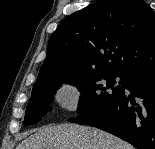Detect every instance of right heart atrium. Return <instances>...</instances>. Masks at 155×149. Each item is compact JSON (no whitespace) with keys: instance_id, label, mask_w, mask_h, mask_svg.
Segmentation results:
<instances>
[{"instance_id":"1","label":"right heart atrium","mask_w":155,"mask_h":149,"mask_svg":"<svg viewBox=\"0 0 155 149\" xmlns=\"http://www.w3.org/2000/svg\"><path fill=\"white\" fill-rule=\"evenodd\" d=\"M82 96V91L78 85L72 82L61 83L54 93L55 102L68 111L77 108Z\"/></svg>"}]
</instances>
